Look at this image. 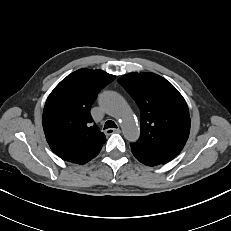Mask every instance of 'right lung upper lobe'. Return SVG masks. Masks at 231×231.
<instances>
[{"mask_svg":"<svg viewBox=\"0 0 231 231\" xmlns=\"http://www.w3.org/2000/svg\"><path fill=\"white\" fill-rule=\"evenodd\" d=\"M114 79L99 69H79L47 98L43 129L50 148L61 159L85 164L99 154L106 138L92 123L90 107L99 91Z\"/></svg>","mask_w":231,"mask_h":231,"instance_id":"obj_1","label":"right lung upper lobe"}]
</instances>
